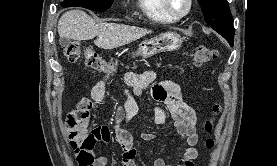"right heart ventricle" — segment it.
<instances>
[{"instance_id": "1", "label": "right heart ventricle", "mask_w": 277, "mask_h": 166, "mask_svg": "<svg viewBox=\"0 0 277 166\" xmlns=\"http://www.w3.org/2000/svg\"><path fill=\"white\" fill-rule=\"evenodd\" d=\"M137 5L142 13L150 20L159 23L174 21L162 8L160 0H137Z\"/></svg>"}]
</instances>
